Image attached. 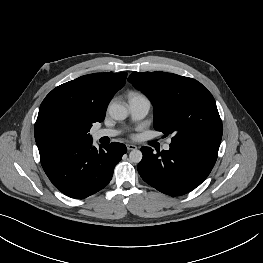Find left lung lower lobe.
<instances>
[{
  "mask_svg": "<svg viewBox=\"0 0 263 263\" xmlns=\"http://www.w3.org/2000/svg\"><path fill=\"white\" fill-rule=\"evenodd\" d=\"M219 146L174 145L153 153L143 146V158L138 165L142 179L170 196L186 194L199 186L211 172Z\"/></svg>",
  "mask_w": 263,
  "mask_h": 263,
  "instance_id": "obj_1",
  "label": "left lung lower lobe"
}]
</instances>
